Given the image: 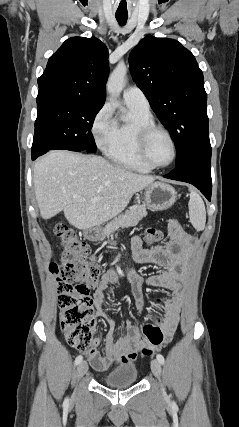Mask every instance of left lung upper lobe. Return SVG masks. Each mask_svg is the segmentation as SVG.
Here are the masks:
<instances>
[{"mask_svg":"<svg viewBox=\"0 0 239 427\" xmlns=\"http://www.w3.org/2000/svg\"><path fill=\"white\" fill-rule=\"evenodd\" d=\"M129 62L133 80L171 134L176 166L211 147L207 94L194 55L176 40L148 35L131 51Z\"/></svg>","mask_w":239,"mask_h":427,"instance_id":"left-lung-upper-lobe-1","label":"left lung upper lobe"}]
</instances>
